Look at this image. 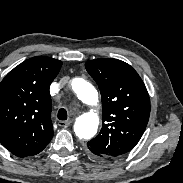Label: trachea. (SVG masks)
Segmentation results:
<instances>
[{
	"label": "trachea",
	"instance_id": "trachea-1",
	"mask_svg": "<svg viewBox=\"0 0 183 183\" xmlns=\"http://www.w3.org/2000/svg\"><path fill=\"white\" fill-rule=\"evenodd\" d=\"M68 117L67 115V111L63 108H61L59 111H58V119L59 120H66Z\"/></svg>",
	"mask_w": 183,
	"mask_h": 183
}]
</instances>
